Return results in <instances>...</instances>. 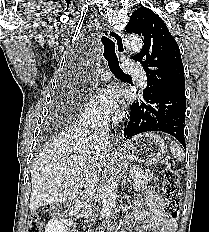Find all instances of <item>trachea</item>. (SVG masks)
Segmentation results:
<instances>
[{
    "instance_id": "obj_1",
    "label": "trachea",
    "mask_w": 209,
    "mask_h": 232,
    "mask_svg": "<svg viewBox=\"0 0 209 232\" xmlns=\"http://www.w3.org/2000/svg\"><path fill=\"white\" fill-rule=\"evenodd\" d=\"M102 44L104 46V58L107 60L109 68L111 72L117 77V78H123V79H131V77L127 74H125L120 66L119 61L117 58V55L115 53V43L110 38L106 36H102L101 38Z\"/></svg>"
}]
</instances>
